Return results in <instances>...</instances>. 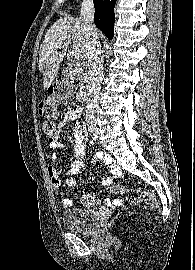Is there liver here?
Here are the masks:
<instances>
[{
    "mask_svg": "<svg viewBox=\"0 0 195 270\" xmlns=\"http://www.w3.org/2000/svg\"><path fill=\"white\" fill-rule=\"evenodd\" d=\"M87 43V33L81 19L65 16L50 27L39 52L38 68L43 73L44 89L49 88L53 83L59 65L66 56L67 47L72 44L73 49H78L86 54ZM61 46L62 52H58Z\"/></svg>",
    "mask_w": 195,
    "mask_h": 270,
    "instance_id": "1",
    "label": "liver"
}]
</instances>
